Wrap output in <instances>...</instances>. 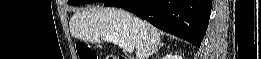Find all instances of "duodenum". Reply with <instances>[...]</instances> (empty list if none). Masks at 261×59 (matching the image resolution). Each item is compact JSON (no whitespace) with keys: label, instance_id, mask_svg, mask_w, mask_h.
<instances>
[{"label":"duodenum","instance_id":"obj_1","mask_svg":"<svg viewBox=\"0 0 261 59\" xmlns=\"http://www.w3.org/2000/svg\"><path fill=\"white\" fill-rule=\"evenodd\" d=\"M127 57H124V56H113L111 57V59H126Z\"/></svg>","mask_w":261,"mask_h":59}]
</instances>
